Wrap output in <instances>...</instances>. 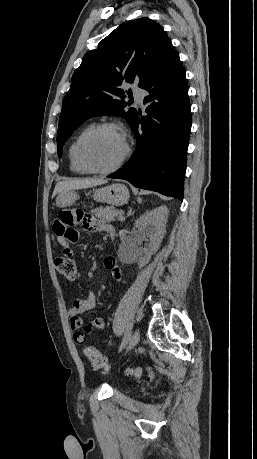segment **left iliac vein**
I'll return each mask as SVG.
<instances>
[{"label": "left iliac vein", "mask_w": 257, "mask_h": 459, "mask_svg": "<svg viewBox=\"0 0 257 459\" xmlns=\"http://www.w3.org/2000/svg\"><path fill=\"white\" fill-rule=\"evenodd\" d=\"M140 341V334L138 331H135L127 342L126 349L127 351L133 349Z\"/></svg>", "instance_id": "4c4485c4"}]
</instances>
